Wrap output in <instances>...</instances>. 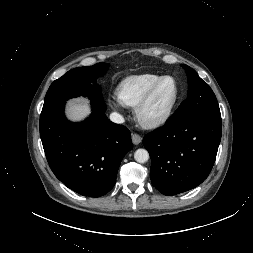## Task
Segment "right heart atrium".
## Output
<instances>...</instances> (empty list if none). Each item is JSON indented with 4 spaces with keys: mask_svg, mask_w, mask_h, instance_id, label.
I'll list each match as a JSON object with an SVG mask.
<instances>
[{
    "mask_svg": "<svg viewBox=\"0 0 253 253\" xmlns=\"http://www.w3.org/2000/svg\"><path fill=\"white\" fill-rule=\"evenodd\" d=\"M109 104L116 110L123 109V104L118 99H109Z\"/></svg>",
    "mask_w": 253,
    "mask_h": 253,
    "instance_id": "1",
    "label": "right heart atrium"
}]
</instances>
